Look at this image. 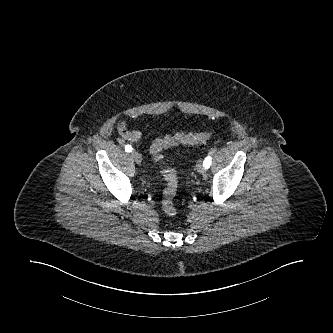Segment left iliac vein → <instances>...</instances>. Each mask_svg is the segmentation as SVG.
<instances>
[{"label":"left iliac vein","instance_id":"4c4485c4","mask_svg":"<svg viewBox=\"0 0 333 333\" xmlns=\"http://www.w3.org/2000/svg\"><path fill=\"white\" fill-rule=\"evenodd\" d=\"M197 172L203 174L205 172V168L203 166V162L201 160L198 161L196 165Z\"/></svg>","mask_w":333,"mask_h":333}]
</instances>
